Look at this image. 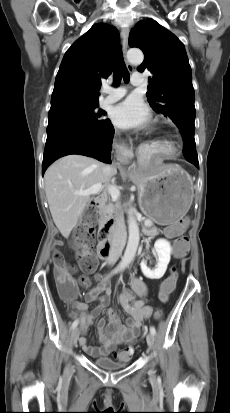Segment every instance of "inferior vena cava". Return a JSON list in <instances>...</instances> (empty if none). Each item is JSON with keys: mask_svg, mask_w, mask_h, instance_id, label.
I'll use <instances>...</instances> for the list:
<instances>
[{"mask_svg": "<svg viewBox=\"0 0 230 413\" xmlns=\"http://www.w3.org/2000/svg\"><path fill=\"white\" fill-rule=\"evenodd\" d=\"M103 173L108 176H113L116 173V169L114 168V166L105 165L103 168ZM114 225H115L114 242L110 250L109 256L107 258V262L110 265L115 264L117 260L119 259V257L121 256L122 250L126 243V236H127L125 222L122 216H119L118 218H116Z\"/></svg>", "mask_w": 230, "mask_h": 413, "instance_id": "obj_1", "label": "inferior vena cava"}]
</instances>
